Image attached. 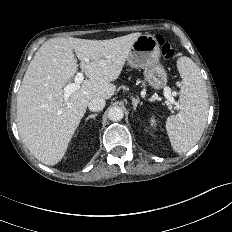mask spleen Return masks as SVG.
<instances>
[{
	"label": "spleen",
	"mask_w": 232,
	"mask_h": 232,
	"mask_svg": "<svg viewBox=\"0 0 232 232\" xmlns=\"http://www.w3.org/2000/svg\"><path fill=\"white\" fill-rule=\"evenodd\" d=\"M182 78L180 112L166 121V130L175 152L189 151L202 136L208 115V95L205 81L192 59L182 56L177 60Z\"/></svg>",
	"instance_id": "spleen-1"
}]
</instances>
